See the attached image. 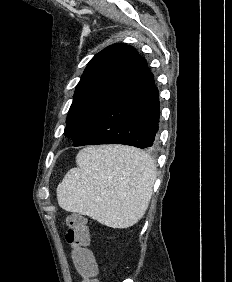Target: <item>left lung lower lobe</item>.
<instances>
[{
	"instance_id": "left-lung-lower-lobe-1",
	"label": "left lung lower lobe",
	"mask_w": 232,
	"mask_h": 282,
	"mask_svg": "<svg viewBox=\"0 0 232 282\" xmlns=\"http://www.w3.org/2000/svg\"><path fill=\"white\" fill-rule=\"evenodd\" d=\"M159 117L158 89L146 60L141 57L129 78L101 109L90 138L76 146L125 144L153 147Z\"/></svg>"
}]
</instances>
